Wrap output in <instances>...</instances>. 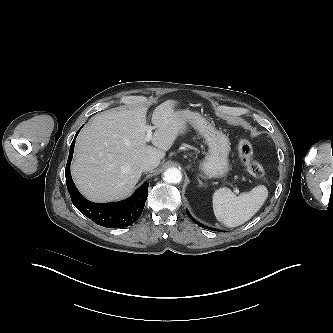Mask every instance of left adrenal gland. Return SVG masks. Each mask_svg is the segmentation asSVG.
I'll return each instance as SVG.
<instances>
[{"mask_svg":"<svg viewBox=\"0 0 333 333\" xmlns=\"http://www.w3.org/2000/svg\"><path fill=\"white\" fill-rule=\"evenodd\" d=\"M197 180H198V182H199V186H200V187H201V186H205L204 183H203L199 178H197Z\"/></svg>","mask_w":333,"mask_h":333,"instance_id":"1","label":"left adrenal gland"}]
</instances>
